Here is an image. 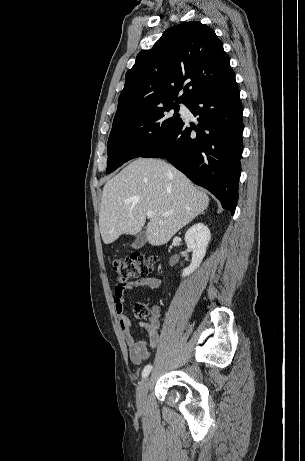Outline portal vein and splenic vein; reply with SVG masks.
<instances>
[{"label":"portal vein and splenic vein","mask_w":305,"mask_h":461,"mask_svg":"<svg viewBox=\"0 0 305 461\" xmlns=\"http://www.w3.org/2000/svg\"><path fill=\"white\" fill-rule=\"evenodd\" d=\"M169 214H170V213H166V214L163 215V216H166V215H169ZM146 215H147L148 218L151 219V218H153V217L155 216V213H154V211H151V210H150V211H147Z\"/></svg>","instance_id":"portal-vein-and-splenic-vein-1"}]
</instances>
